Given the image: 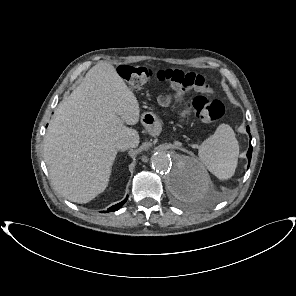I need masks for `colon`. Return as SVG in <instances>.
I'll use <instances>...</instances> for the list:
<instances>
[{
    "instance_id": "obj_1",
    "label": "colon",
    "mask_w": 296,
    "mask_h": 296,
    "mask_svg": "<svg viewBox=\"0 0 296 296\" xmlns=\"http://www.w3.org/2000/svg\"><path fill=\"white\" fill-rule=\"evenodd\" d=\"M120 74L132 89H139L152 77L158 81L168 82L176 92L177 100L183 105V115H195L202 122H212L220 119L224 114V106L218 100L210 99L204 95L185 101V94L190 90L205 93L208 87L205 78L194 72L179 69L160 70L157 73L147 67L125 65L120 68Z\"/></svg>"
}]
</instances>
